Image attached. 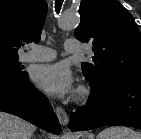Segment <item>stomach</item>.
<instances>
[{
	"label": "stomach",
	"instance_id": "1",
	"mask_svg": "<svg viewBox=\"0 0 141 139\" xmlns=\"http://www.w3.org/2000/svg\"><path fill=\"white\" fill-rule=\"evenodd\" d=\"M82 139H94V135L91 133H85L82 135Z\"/></svg>",
	"mask_w": 141,
	"mask_h": 139
}]
</instances>
